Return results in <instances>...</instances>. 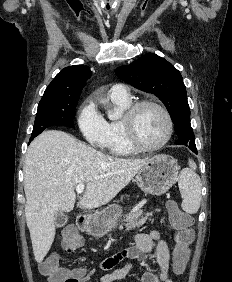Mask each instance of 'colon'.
Returning a JSON list of instances; mask_svg holds the SVG:
<instances>
[{
	"instance_id": "1",
	"label": "colon",
	"mask_w": 232,
	"mask_h": 282,
	"mask_svg": "<svg viewBox=\"0 0 232 282\" xmlns=\"http://www.w3.org/2000/svg\"><path fill=\"white\" fill-rule=\"evenodd\" d=\"M169 220L175 230L173 249V269L176 274H182L190 254V246L194 241V229L192 218L179 209L175 201L168 204ZM61 243L64 250L72 253L82 246L81 238L71 229L62 232ZM42 274L51 279L52 282H77V278L67 274V269L58 264V258L48 256L39 267Z\"/></svg>"
}]
</instances>
